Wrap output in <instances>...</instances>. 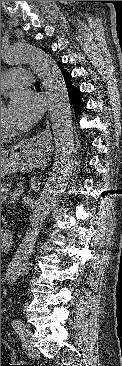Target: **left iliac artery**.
Segmentation results:
<instances>
[{"mask_svg":"<svg viewBox=\"0 0 122 366\" xmlns=\"http://www.w3.org/2000/svg\"><path fill=\"white\" fill-rule=\"evenodd\" d=\"M11 325L17 333H22V330L24 328V324L21 320L15 319L11 322Z\"/></svg>","mask_w":122,"mask_h":366,"instance_id":"44dca946","label":"left iliac artery"}]
</instances>
